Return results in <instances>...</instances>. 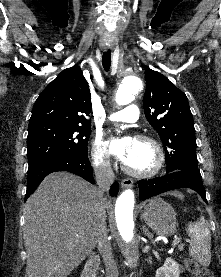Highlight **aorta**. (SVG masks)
<instances>
[{
	"label": "aorta",
	"instance_id": "1",
	"mask_svg": "<svg viewBox=\"0 0 221 277\" xmlns=\"http://www.w3.org/2000/svg\"><path fill=\"white\" fill-rule=\"evenodd\" d=\"M143 88V82L137 75H127L120 82L115 95L118 105H127ZM135 195L133 190L126 189L115 202L112 231L123 255L128 262L134 263L138 258V236L134 221Z\"/></svg>",
	"mask_w": 221,
	"mask_h": 277
}]
</instances>
